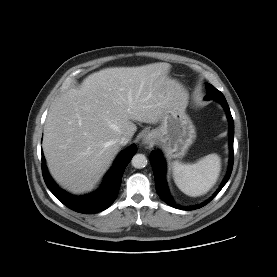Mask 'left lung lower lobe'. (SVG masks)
<instances>
[{"label": "left lung lower lobe", "instance_id": "0a47b994", "mask_svg": "<svg viewBox=\"0 0 277 277\" xmlns=\"http://www.w3.org/2000/svg\"><path fill=\"white\" fill-rule=\"evenodd\" d=\"M223 108L226 111V115L227 118L229 120V146H230V159H229V168H228V172L222 182V184L220 185L219 189L215 192V194L208 199L206 202L197 205V206H193V207H181L178 206L173 199L171 198V195L169 193V190L167 188V183L165 180V173H166V164H165V160L162 157V153L160 151H152L150 154V163L152 165L153 168V173H154V178H155V184H156V191L158 193V195L160 196V198L167 203L168 205L177 208V209H182V210H194V209H198L201 208L203 206H205L206 204H208L219 192L220 190L224 187V185L227 183V181L230 178L231 172H232V168H233V141H234V121L228 106V103L225 100H220L218 101Z\"/></svg>", "mask_w": 277, "mask_h": 277}]
</instances>
